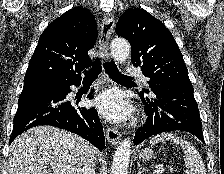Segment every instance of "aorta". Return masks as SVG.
<instances>
[{
	"mask_svg": "<svg viewBox=\"0 0 224 174\" xmlns=\"http://www.w3.org/2000/svg\"><path fill=\"white\" fill-rule=\"evenodd\" d=\"M111 54L118 62H125L130 57V45L123 38H116L110 45ZM131 154V143L124 139L119 143L114 154L111 174H128Z\"/></svg>",
	"mask_w": 224,
	"mask_h": 174,
	"instance_id": "762f6f07",
	"label": "aorta"
}]
</instances>
